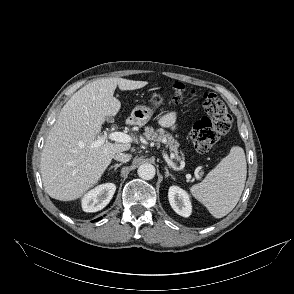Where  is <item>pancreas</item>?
Instances as JSON below:
<instances>
[{"instance_id":"pancreas-1","label":"pancreas","mask_w":294,"mask_h":294,"mask_svg":"<svg viewBox=\"0 0 294 294\" xmlns=\"http://www.w3.org/2000/svg\"><path fill=\"white\" fill-rule=\"evenodd\" d=\"M146 139L150 141H154L157 144L159 143H164L166 146L169 148V150L174 154L175 158L177 160H180L178 148H179V143L174 139L170 133L166 132L164 129H153L150 126L145 127V132L143 134Z\"/></svg>"}]
</instances>
